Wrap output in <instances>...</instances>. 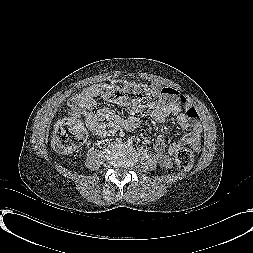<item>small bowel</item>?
Returning <instances> with one entry per match:
<instances>
[{"instance_id": "obj_1", "label": "small bowel", "mask_w": 253, "mask_h": 253, "mask_svg": "<svg viewBox=\"0 0 253 253\" xmlns=\"http://www.w3.org/2000/svg\"><path fill=\"white\" fill-rule=\"evenodd\" d=\"M149 88L164 94L162 100L149 105L146 109L153 120L158 125H162L169 117H174L180 128L186 131L181 139L171 142L168 146L165 145L164 134H161L154 143L153 150L157 162L163 168H170L171 157L175 156L179 149L184 147H189L193 151L200 149L202 126L196 108L185 96L173 88L161 87L157 84H151ZM98 93L99 86L92 85L73 95L69 99L71 118L78 119L83 116L86 126L97 138L108 137L121 128L127 130L136 128L137 115L142 111L141 107L128 104L126 106L128 117H121L110 107L96 109ZM141 137L149 141V132L142 130Z\"/></svg>"}]
</instances>
